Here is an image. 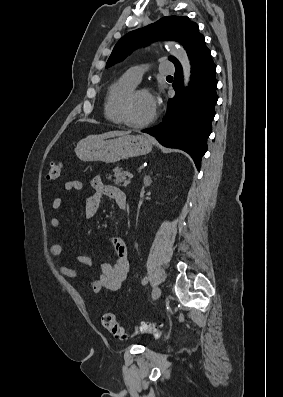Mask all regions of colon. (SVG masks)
Instances as JSON below:
<instances>
[{"label":"colon","instance_id":"5ec220e1","mask_svg":"<svg viewBox=\"0 0 283 397\" xmlns=\"http://www.w3.org/2000/svg\"><path fill=\"white\" fill-rule=\"evenodd\" d=\"M62 163H52L47 172V179L49 181L57 180L62 172ZM103 327L113 334L116 338L125 339L126 333L124 329L119 324L115 315L112 313H104L101 318ZM140 330L142 332H148L153 334H158L160 326L155 323H144L141 325Z\"/></svg>","mask_w":283,"mask_h":397}]
</instances>
